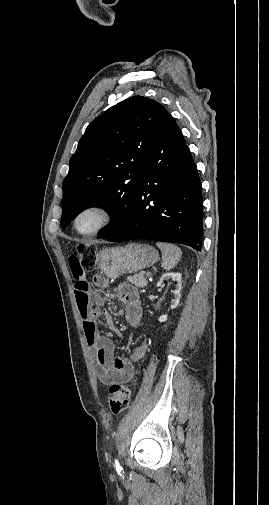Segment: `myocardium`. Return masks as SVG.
I'll return each instance as SVG.
<instances>
[{
	"label": "myocardium",
	"instance_id": "f54148a6",
	"mask_svg": "<svg viewBox=\"0 0 269 505\" xmlns=\"http://www.w3.org/2000/svg\"><path fill=\"white\" fill-rule=\"evenodd\" d=\"M90 211L99 212L102 217L101 221L95 228H93L90 231H87V232L80 231L77 227L78 219L83 214L90 212ZM115 215H116L115 209L109 203L102 202V201L90 202V203L82 206L75 213V215L72 219V226H73V229L75 230V232L81 236H84V237L94 236V235L100 233L101 231H103L104 229H106L114 221Z\"/></svg>",
	"mask_w": 269,
	"mask_h": 505
}]
</instances>
